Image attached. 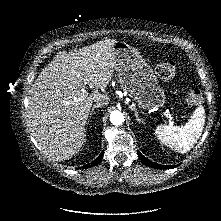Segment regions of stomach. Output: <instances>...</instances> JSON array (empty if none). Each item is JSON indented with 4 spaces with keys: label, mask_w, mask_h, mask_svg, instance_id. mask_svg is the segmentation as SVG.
<instances>
[{
    "label": "stomach",
    "mask_w": 221,
    "mask_h": 221,
    "mask_svg": "<svg viewBox=\"0 0 221 221\" xmlns=\"http://www.w3.org/2000/svg\"><path fill=\"white\" fill-rule=\"evenodd\" d=\"M112 53L121 88L144 109L162 107L165 103L164 90L138 50L126 42L117 41Z\"/></svg>",
    "instance_id": "stomach-1"
}]
</instances>
